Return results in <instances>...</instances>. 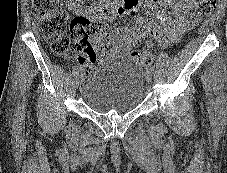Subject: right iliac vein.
<instances>
[{
	"label": "right iliac vein",
	"mask_w": 227,
	"mask_h": 173,
	"mask_svg": "<svg viewBox=\"0 0 227 173\" xmlns=\"http://www.w3.org/2000/svg\"><path fill=\"white\" fill-rule=\"evenodd\" d=\"M79 81H80V76H79V74H77L75 77V80H74L75 86H77L79 84Z\"/></svg>",
	"instance_id": "right-iliac-vein-1"
}]
</instances>
